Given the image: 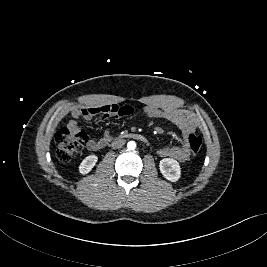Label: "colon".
Returning a JSON list of instances; mask_svg holds the SVG:
<instances>
[{
  "mask_svg": "<svg viewBox=\"0 0 267 267\" xmlns=\"http://www.w3.org/2000/svg\"><path fill=\"white\" fill-rule=\"evenodd\" d=\"M88 141V135L81 129L73 130L68 125L60 128L54 138L56 157L61 162H68L78 153ZM188 147L193 154H197L202 147V139L196 134H190L187 139Z\"/></svg>",
  "mask_w": 267,
  "mask_h": 267,
  "instance_id": "5ec220e1",
  "label": "colon"
}]
</instances>
